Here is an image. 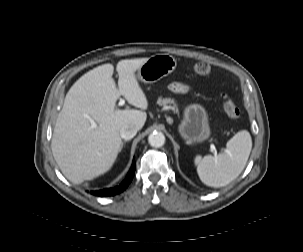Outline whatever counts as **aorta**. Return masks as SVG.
Instances as JSON below:
<instances>
[{
  "label": "aorta",
  "instance_id": "obj_1",
  "mask_svg": "<svg viewBox=\"0 0 303 252\" xmlns=\"http://www.w3.org/2000/svg\"><path fill=\"white\" fill-rule=\"evenodd\" d=\"M148 142L152 147H162L165 143V136L162 132L154 131L149 135Z\"/></svg>",
  "mask_w": 303,
  "mask_h": 252
}]
</instances>
